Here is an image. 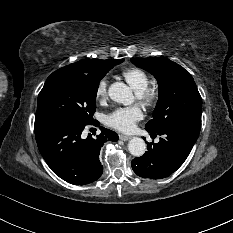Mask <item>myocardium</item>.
Segmentation results:
<instances>
[{
	"mask_svg": "<svg viewBox=\"0 0 233 233\" xmlns=\"http://www.w3.org/2000/svg\"><path fill=\"white\" fill-rule=\"evenodd\" d=\"M138 94L142 102L146 105L154 104L158 98V92L154 88H146Z\"/></svg>",
	"mask_w": 233,
	"mask_h": 233,
	"instance_id": "myocardium-1",
	"label": "myocardium"
}]
</instances>
